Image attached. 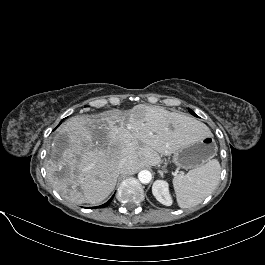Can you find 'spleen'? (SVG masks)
Returning <instances> with one entry per match:
<instances>
[{"label": "spleen", "instance_id": "spleen-1", "mask_svg": "<svg viewBox=\"0 0 265 265\" xmlns=\"http://www.w3.org/2000/svg\"><path fill=\"white\" fill-rule=\"evenodd\" d=\"M221 167L216 159L208 161L173 178V187L179 207L190 208L201 203L217 187Z\"/></svg>", "mask_w": 265, "mask_h": 265}]
</instances>
